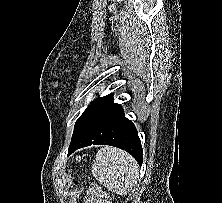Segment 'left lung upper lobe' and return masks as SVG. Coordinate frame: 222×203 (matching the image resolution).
Returning a JSON list of instances; mask_svg holds the SVG:
<instances>
[{
    "label": "left lung upper lobe",
    "instance_id": "left-lung-upper-lobe-1",
    "mask_svg": "<svg viewBox=\"0 0 222 203\" xmlns=\"http://www.w3.org/2000/svg\"><path fill=\"white\" fill-rule=\"evenodd\" d=\"M112 96H113V94H109L104 97H99V98L95 99L93 102H91V104L86 108V110L83 112V114L76 121L75 127H74V132L72 135V140L81 134V132L84 130V128L87 126V124L93 118V116L98 112V110L101 108V106Z\"/></svg>",
    "mask_w": 222,
    "mask_h": 203
}]
</instances>
